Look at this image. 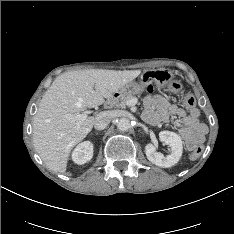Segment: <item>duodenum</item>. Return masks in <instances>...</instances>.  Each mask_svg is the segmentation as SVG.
<instances>
[{"label": "duodenum", "instance_id": "obj_1", "mask_svg": "<svg viewBox=\"0 0 234 234\" xmlns=\"http://www.w3.org/2000/svg\"><path fill=\"white\" fill-rule=\"evenodd\" d=\"M117 94L114 95L113 97H111L110 99H108V101L106 102V106H111L117 99Z\"/></svg>", "mask_w": 234, "mask_h": 234}]
</instances>
